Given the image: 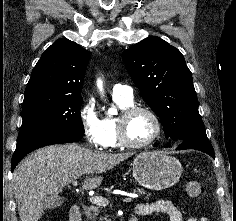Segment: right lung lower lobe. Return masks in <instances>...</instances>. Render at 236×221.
Instances as JSON below:
<instances>
[{
    "mask_svg": "<svg viewBox=\"0 0 236 221\" xmlns=\"http://www.w3.org/2000/svg\"><path fill=\"white\" fill-rule=\"evenodd\" d=\"M82 137V134L55 129H34L20 134L11 161V171L24 156L37 148L51 144L71 143Z\"/></svg>",
    "mask_w": 236,
    "mask_h": 221,
    "instance_id": "obj_1",
    "label": "right lung lower lobe"
}]
</instances>
